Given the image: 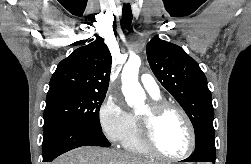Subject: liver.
<instances>
[{
  "label": "liver",
  "instance_id": "obj_1",
  "mask_svg": "<svg viewBox=\"0 0 251 164\" xmlns=\"http://www.w3.org/2000/svg\"><path fill=\"white\" fill-rule=\"evenodd\" d=\"M52 164H154L114 149L84 146L58 157Z\"/></svg>",
  "mask_w": 251,
  "mask_h": 164
}]
</instances>
